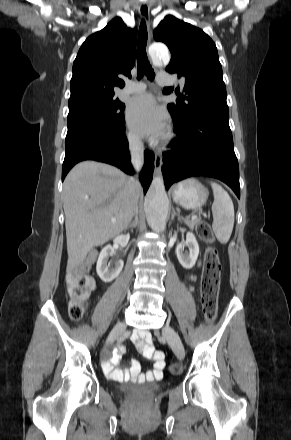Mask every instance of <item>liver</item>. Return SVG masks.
Here are the masks:
<instances>
[{
    "instance_id": "liver-1",
    "label": "liver",
    "mask_w": 291,
    "mask_h": 440,
    "mask_svg": "<svg viewBox=\"0 0 291 440\" xmlns=\"http://www.w3.org/2000/svg\"><path fill=\"white\" fill-rule=\"evenodd\" d=\"M138 195L135 180L111 165L83 161L73 167L63 184L68 272L91 248L127 229Z\"/></svg>"
}]
</instances>
